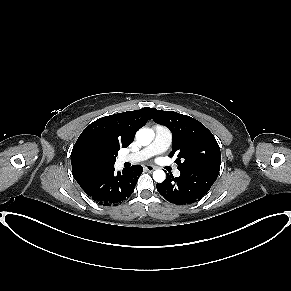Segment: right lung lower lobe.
<instances>
[{
    "label": "right lung lower lobe",
    "instance_id": "98d812e1",
    "mask_svg": "<svg viewBox=\"0 0 291 291\" xmlns=\"http://www.w3.org/2000/svg\"><path fill=\"white\" fill-rule=\"evenodd\" d=\"M114 168L98 174L80 184L84 192L103 206L117 205L126 200L134 191L143 168L134 165L115 173Z\"/></svg>",
    "mask_w": 291,
    "mask_h": 291
}]
</instances>
